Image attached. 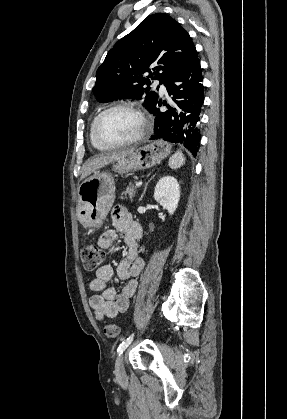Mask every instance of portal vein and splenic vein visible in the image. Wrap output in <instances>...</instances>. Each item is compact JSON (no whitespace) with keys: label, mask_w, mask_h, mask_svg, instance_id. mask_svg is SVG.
Instances as JSON below:
<instances>
[{"label":"portal vein and splenic vein","mask_w":287,"mask_h":419,"mask_svg":"<svg viewBox=\"0 0 287 419\" xmlns=\"http://www.w3.org/2000/svg\"><path fill=\"white\" fill-rule=\"evenodd\" d=\"M142 185V181L136 183V187H140Z\"/></svg>","instance_id":"1"}]
</instances>
